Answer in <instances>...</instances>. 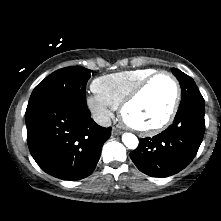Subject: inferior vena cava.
<instances>
[{"label": "inferior vena cava", "mask_w": 221, "mask_h": 221, "mask_svg": "<svg viewBox=\"0 0 221 221\" xmlns=\"http://www.w3.org/2000/svg\"><path fill=\"white\" fill-rule=\"evenodd\" d=\"M92 118L94 119V121L96 123H98L100 126H103V127H109L111 126V119L109 116L105 115V114H99V113H96V114H93Z\"/></svg>", "instance_id": "602c4592"}]
</instances>
